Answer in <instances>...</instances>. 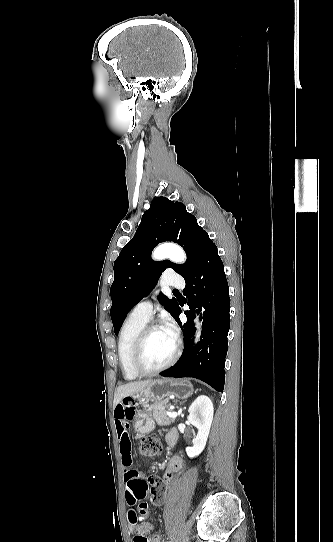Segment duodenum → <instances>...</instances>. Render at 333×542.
<instances>
[{
    "label": "duodenum",
    "instance_id": "duodenum-1",
    "mask_svg": "<svg viewBox=\"0 0 333 542\" xmlns=\"http://www.w3.org/2000/svg\"><path fill=\"white\" fill-rule=\"evenodd\" d=\"M177 440V434L176 433H169L167 435V442L170 443V444H173L175 443Z\"/></svg>",
    "mask_w": 333,
    "mask_h": 542
}]
</instances>
